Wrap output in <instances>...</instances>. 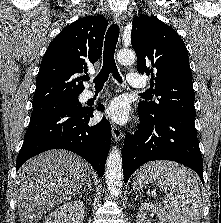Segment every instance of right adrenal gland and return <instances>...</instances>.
<instances>
[{
    "instance_id": "1",
    "label": "right adrenal gland",
    "mask_w": 221,
    "mask_h": 223,
    "mask_svg": "<svg viewBox=\"0 0 221 223\" xmlns=\"http://www.w3.org/2000/svg\"><path fill=\"white\" fill-rule=\"evenodd\" d=\"M87 187H88V189H89L90 191H92V186H91V180H90V178H88L86 184H84V186H83V191H85V190L87 189Z\"/></svg>"
}]
</instances>
